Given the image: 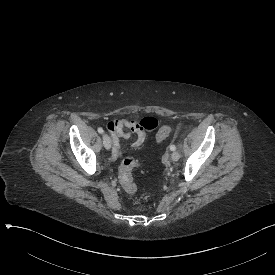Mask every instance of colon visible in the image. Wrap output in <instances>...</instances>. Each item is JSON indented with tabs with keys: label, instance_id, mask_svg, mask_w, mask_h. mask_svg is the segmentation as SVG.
I'll return each instance as SVG.
<instances>
[{
	"label": "colon",
	"instance_id": "5ec220e1",
	"mask_svg": "<svg viewBox=\"0 0 275 275\" xmlns=\"http://www.w3.org/2000/svg\"><path fill=\"white\" fill-rule=\"evenodd\" d=\"M172 132V127L162 126L157 132V139L163 141L168 138ZM146 168V163L144 161H138L133 158H128L123 161L119 169L117 179L122 188L130 195H133L137 191V186L134 181L133 169L134 170H144Z\"/></svg>",
	"mask_w": 275,
	"mask_h": 275
}]
</instances>
